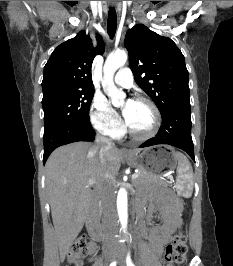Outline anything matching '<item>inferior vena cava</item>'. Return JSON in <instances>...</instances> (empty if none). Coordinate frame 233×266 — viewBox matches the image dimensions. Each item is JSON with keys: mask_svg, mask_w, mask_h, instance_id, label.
<instances>
[{"mask_svg": "<svg viewBox=\"0 0 233 266\" xmlns=\"http://www.w3.org/2000/svg\"><path fill=\"white\" fill-rule=\"evenodd\" d=\"M96 143L99 147V157L103 159L104 155L114 147V143L111 139L99 133L96 136ZM113 180L107 179L101 186L102 192V206H103V219L102 223L105 230L113 234L116 231L117 215L115 206V194L113 187Z\"/></svg>", "mask_w": 233, "mask_h": 266, "instance_id": "inferior-vena-cava-1", "label": "inferior vena cava"}]
</instances>
